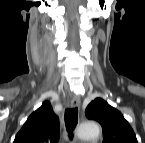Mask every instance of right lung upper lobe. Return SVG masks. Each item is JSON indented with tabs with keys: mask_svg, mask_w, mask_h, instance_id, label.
Returning <instances> with one entry per match:
<instances>
[{
	"mask_svg": "<svg viewBox=\"0 0 145 143\" xmlns=\"http://www.w3.org/2000/svg\"><path fill=\"white\" fill-rule=\"evenodd\" d=\"M59 119L54 114L51 104L45 101L34 111L17 133L15 143H57Z\"/></svg>",
	"mask_w": 145,
	"mask_h": 143,
	"instance_id": "cb5924a9",
	"label": "right lung upper lobe"
}]
</instances>
